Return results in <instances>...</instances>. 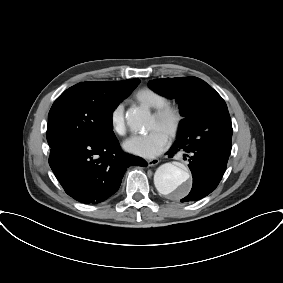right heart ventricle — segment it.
<instances>
[{
	"instance_id": "right-heart-ventricle-1",
	"label": "right heart ventricle",
	"mask_w": 283,
	"mask_h": 283,
	"mask_svg": "<svg viewBox=\"0 0 283 283\" xmlns=\"http://www.w3.org/2000/svg\"><path fill=\"white\" fill-rule=\"evenodd\" d=\"M134 97L139 104L152 109L168 103V98L163 93L148 87L138 90Z\"/></svg>"
}]
</instances>
